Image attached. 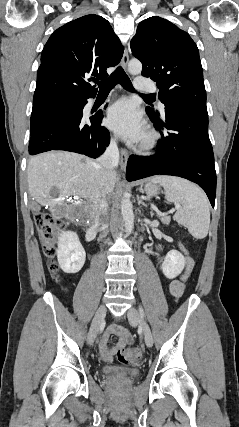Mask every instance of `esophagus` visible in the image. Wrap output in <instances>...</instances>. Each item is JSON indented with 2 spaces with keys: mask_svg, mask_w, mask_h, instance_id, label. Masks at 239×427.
<instances>
[{
  "mask_svg": "<svg viewBox=\"0 0 239 427\" xmlns=\"http://www.w3.org/2000/svg\"><path fill=\"white\" fill-rule=\"evenodd\" d=\"M128 62H129V54H128V49L126 48L124 50L123 57L121 60V65L124 69L127 68ZM127 160H128V152L126 149L121 148L120 149V165L123 171H125L126 169Z\"/></svg>",
  "mask_w": 239,
  "mask_h": 427,
  "instance_id": "1",
  "label": "esophagus"
}]
</instances>
